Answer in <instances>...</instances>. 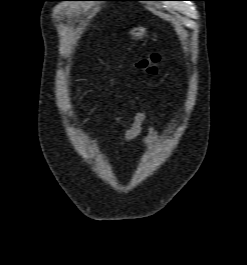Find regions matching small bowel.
Listing matches in <instances>:
<instances>
[{"instance_id": "small-bowel-1", "label": "small bowel", "mask_w": 247, "mask_h": 265, "mask_svg": "<svg viewBox=\"0 0 247 265\" xmlns=\"http://www.w3.org/2000/svg\"><path fill=\"white\" fill-rule=\"evenodd\" d=\"M146 112L139 111L135 114L129 128L126 132L121 136V144L129 143L134 141L140 134L142 125L146 120ZM120 123V119L117 118L114 127H117ZM108 134L98 137L92 142L93 146L99 145L106 140ZM158 137V124L156 120V115H151V123L148 129L146 136L142 139L141 145L144 147H150L155 144Z\"/></svg>"}]
</instances>
